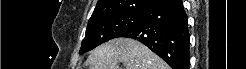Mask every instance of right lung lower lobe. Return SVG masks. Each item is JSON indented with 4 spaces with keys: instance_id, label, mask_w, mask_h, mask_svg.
Returning a JSON list of instances; mask_svg holds the SVG:
<instances>
[{
    "instance_id": "98d812e1",
    "label": "right lung lower lobe",
    "mask_w": 246,
    "mask_h": 69,
    "mask_svg": "<svg viewBox=\"0 0 246 69\" xmlns=\"http://www.w3.org/2000/svg\"><path fill=\"white\" fill-rule=\"evenodd\" d=\"M119 37L140 41L173 69L189 68V31L182 0H168L143 12L141 22Z\"/></svg>"
}]
</instances>
